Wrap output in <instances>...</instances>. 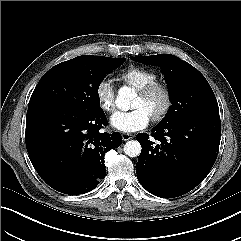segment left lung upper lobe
I'll use <instances>...</instances> for the list:
<instances>
[{
  "label": "left lung upper lobe",
  "mask_w": 241,
  "mask_h": 241,
  "mask_svg": "<svg viewBox=\"0 0 241 241\" xmlns=\"http://www.w3.org/2000/svg\"><path fill=\"white\" fill-rule=\"evenodd\" d=\"M160 66L168 84L172 105L160 126L191 116L219 117V108L209 83L192 65L171 54L131 57Z\"/></svg>",
  "instance_id": "5c2ea615"
}]
</instances>
